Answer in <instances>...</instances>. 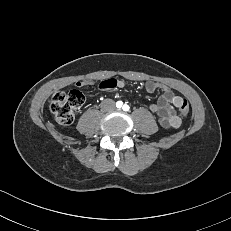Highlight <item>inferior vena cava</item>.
<instances>
[{"label":"inferior vena cava","mask_w":231,"mask_h":231,"mask_svg":"<svg viewBox=\"0 0 231 231\" xmlns=\"http://www.w3.org/2000/svg\"><path fill=\"white\" fill-rule=\"evenodd\" d=\"M101 108L104 111H111L115 108V103L112 99H105L102 103H101Z\"/></svg>","instance_id":"1"}]
</instances>
